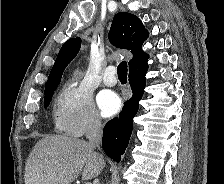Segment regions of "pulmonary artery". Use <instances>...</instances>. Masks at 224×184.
Returning a JSON list of instances; mask_svg holds the SVG:
<instances>
[{"label":"pulmonary artery","instance_id":"e3ab8cb5","mask_svg":"<svg viewBox=\"0 0 224 184\" xmlns=\"http://www.w3.org/2000/svg\"><path fill=\"white\" fill-rule=\"evenodd\" d=\"M116 68L114 66H109L103 76V83L108 87H113L117 84V78L115 76Z\"/></svg>","mask_w":224,"mask_h":184}]
</instances>
